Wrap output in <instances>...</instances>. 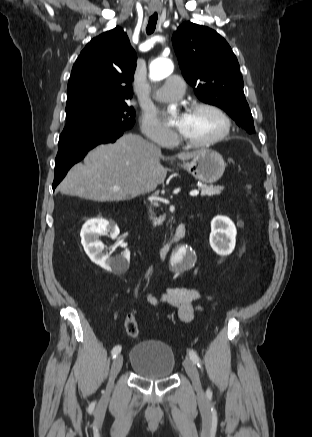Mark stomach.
I'll return each instance as SVG.
<instances>
[{"mask_svg":"<svg viewBox=\"0 0 312 437\" xmlns=\"http://www.w3.org/2000/svg\"><path fill=\"white\" fill-rule=\"evenodd\" d=\"M181 167L199 181L214 183L223 175L225 162L218 152L202 149L198 151L191 161L181 164Z\"/></svg>","mask_w":312,"mask_h":437,"instance_id":"0dacf381","label":"stomach"}]
</instances>
